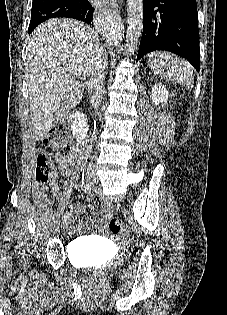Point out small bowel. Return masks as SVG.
<instances>
[{
    "instance_id": "1",
    "label": "small bowel",
    "mask_w": 227,
    "mask_h": 315,
    "mask_svg": "<svg viewBox=\"0 0 227 315\" xmlns=\"http://www.w3.org/2000/svg\"><path fill=\"white\" fill-rule=\"evenodd\" d=\"M81 156V151L78 146H74L71 151L67 155H57L55 157V162L57 169L59 173L63 176H69L71 174V168L73 165H75ZM50 189L52 194L57 200H62L63 196L61 193V190L57 183V175H54L51 183H50ZM32 193L34 196L35 201L41 208H47L50 204V201L48 200L44 187L39 184H33L32 185ZM77 216H84L86 214V211L84 207L81 204L75 205L71 209ZM104 212L106 213L107 217L111 214V207L109 205H105L103 207Z\"/></svg>"
}]
</instances>
